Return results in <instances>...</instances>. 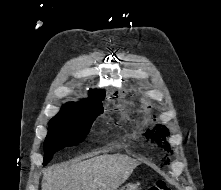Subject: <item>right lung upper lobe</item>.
<instances>
[{
    "instance_id": "1",
    "label": "right lung upper lobe",
    "mask_w": 221,
    "mask_h": 190,
    "mask_svg": "<svg viewBox=\"0 0 221 190\" xmlns=\"http://www.w3.org/2000/svg\"><path fill=\"white\" fill-rule=\"evenodd\" d=\"M89 93L91 95L89 98H87V100L82 101V102H69L63 105L61 111H67V110L74 109L75 107L80 106V105L101 101L104 99V96H105V92L102 89L91 90L89 91Z\"/></svg>"
}]
</instances>
